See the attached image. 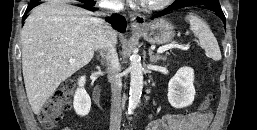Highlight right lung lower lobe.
<instances>
[{
	"label": "right lung lower lobe",
	"instance_id": "right-lung-lower-lobe-1",
	"mask_svg": "<svg viewBox=\"0 0 257 130\" xmlns=\"http://www.w3.org/2000/svg\"><path fill=\"white\" fill-rule=\"evenodd\" d=\"M38 5V1L31 0L30 4L28 5V8L26 9V13H28L31 9L36 7ZM91 6H94L91 5ZM91 11H95V9H90ZM23 18L25 19L26 16L24 15ZM107 21L111 24H113V27H115L118 31L124 32L126 29V23L124 18L121 15H113L112 17H107Z\"/></svg>",
	"mask_w": 257,
	"mask_h": 130
}]
</instances>
